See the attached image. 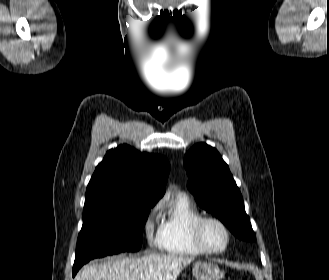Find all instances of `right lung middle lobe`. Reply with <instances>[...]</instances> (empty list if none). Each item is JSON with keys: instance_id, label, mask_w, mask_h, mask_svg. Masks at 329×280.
Returning a JSON list of instances; mask_svg holds the SVG:
<instances>
[{"instance_id": "obj_1", "label": "right lung middle lobe", "mask_w": 329, "mask_h": 280, "mask_svg": "<svg viewBox=\"0 0 329 280\" xmlns=\"http://www.w3.org/2000/svg\"><path fill=\"white\" fill-rule=\"evenodd\" d=\"M159 199L119 198L90 207L83 213L73 276L91 259L138 251L151 207Z\"/></svg>"}]
</instances>
